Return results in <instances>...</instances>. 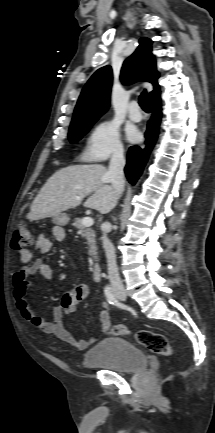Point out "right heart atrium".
<instances>
[{"mask_svg":"<svg viewBox=\"0 0 215 433\" xmlns=\"http://www.w3.org/2000/svg\"><path fill=\"white\" fill-rule=\"evenodd\" d=\"M123 153L120 131L113 120H103L96 124L88 135L83 152L86 161L101 162Z\"/></svg>","mask_w":215,"mask_h":433,"instance_id":"d8ad5b80","label":"right heart atrium"}]
</instances>
